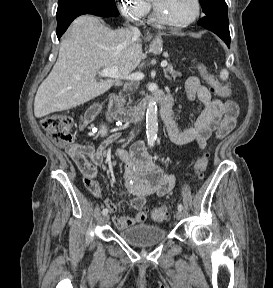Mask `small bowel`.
Here are the masks:
<instances>
[{"label": "small bowel", "mask_w": 273, "mask_h": 288, "mask_svg": "<svg viewBox=\"0 0 273 288\" xmlns=\"http://www.w3.org/2000/svg\"><path fill=\"white\" fill-rule=\"evenodd\" d=\"M185 89L187 97L190 100L198 98L204 108L194 125L184 130H180L172 118L165 122L172 142L184 145L195 141L202 149H205L212 137L223 138L235 128L239 108L234 101L212 98L208 88L202 85L196 77H189L186 80ZM169 96L173 99V96ZM98 112L99 106L94 105L82 114L79 120L81 131L86 130L91 125ZM117 138L118 134L116 133L99 147L73 144L67 149L68 155L83 175L85 186L95 196L101 194L96 166L102 163L109 144ZM116 154L125 166V193L132 196L130 205L137 211L131 217L113 218L115 226L124 229L145 223L147 220L144 211L146 197L153 194L160 197L168 194L174 188L176 179L174 175L164 173L155 165L142 143L134 144L130 150L117 149ZM105 204L111 212L116 211L117 205L113 201L106 200Z\"/></svg>", "instance_id": "small-bowel-1"}]
</instances>
